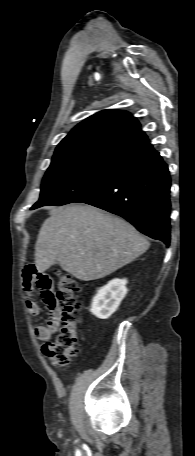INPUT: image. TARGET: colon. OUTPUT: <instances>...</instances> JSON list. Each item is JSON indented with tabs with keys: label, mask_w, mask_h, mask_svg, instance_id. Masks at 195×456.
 Wrapping results in <instances>:
<instances>
[{
	"label": "colon",
	"mask_w": 195,
	"mask_h": 456,
	"mask_svg": "<svg viewBox=\"0 0 195 456\" xmlns=\"http://www.w3.org/2000/svg\"><path fill=\"white\" fill-rule=\"evenodd\" d=\"M80 288L76 278L64 272L57 274L56 302L60 327L56 337L43 344L42 352L56 366H66L77 354L80 333Z\"/></svg>",
	"instance_id": "obj_1"
}]
</instances>
